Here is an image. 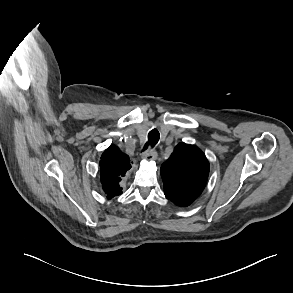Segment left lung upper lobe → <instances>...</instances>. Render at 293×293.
Masks as SVG:
<instances>
[{"label":"left lung upper lobe","instance_id":"5c2ea615","mask_svg":"<svg viewBox=\"0 0 293 293\" xmlns=\"http://www.w3.org/2000/svg\"><path fill=\"white\" fill-rule=\"evenodd\" d=\"M164 193L176 205L187 207L203 191L209 174V163L195 145L179 143L171 157L162 164Z\"/></svg>","mask_w":293,"mask_h":293}]
</instances>
